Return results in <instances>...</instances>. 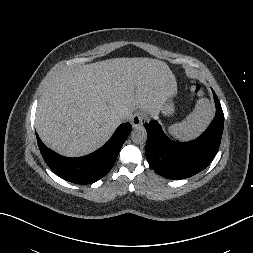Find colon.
Segmentation results:
<instances>
[{
	"label": "colon",
	"instance_id": "5ec220e1",
	"mask_svg": "<svg viewBox=\"0 0 253 253\" xmlns=\"http://www.w3.org/2000/svg\"><path fill=\"white\" fill-rule=\"evenodd\" d=\"M192 93L196 96H202L204 93V87L200 82H194L191 87Z\"/></svg>",
	"mask_w": 253,
	"mask_h": 253
}]
</instances>
